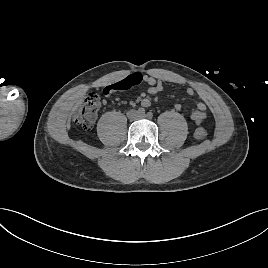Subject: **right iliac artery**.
I'll return each instance as SVG.
<instances>
[{
    "instance_id": "right-iliac-artery-1",
    "label": "right iliac artery",
    "mask_w": 268,
    "mask_h": 268,
    "mask_svg": "<svg viewBox=\"0 0 268 268\" xmlns=\"http://www.w3.org/2000/svg\"><path fill=\"white\" fill-rule=\"evenodd\" d=\"M138 114H145V109L140 107L138 110H137Z\"/></svg>"
}]
</instances>
